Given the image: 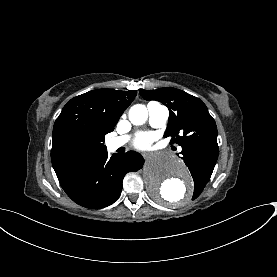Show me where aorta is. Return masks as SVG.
I'll return each mask as SVG.
<instances>
[{
  "instance_id": "aorta-1",
  "label": "aorta",
  "mask_w": 277,
  "mask_h": 277,
  "mask_svg": "<svg viewBox=\"0 0 277 277\" xmlns=\"http://www.w3.org/2000/svg\"><path fill=\"white\" fill-rule=\"evenodd\" d=\"M147 118L148 111L144 105L131 107L129 119L132 124L142 125ZM143 175L149 193L158 202L180 205L186 203L192 195L189 171L183 161L172 154H153L143 168Z\"/></svg>"
}]
</instances>
